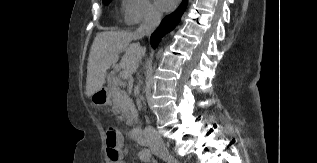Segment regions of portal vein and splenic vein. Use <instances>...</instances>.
<instances>
[{
	"instance_id": "18ae733b",
	"label": "portal vein and splenic vein",
	"mask_w": 317,
	"mask_h": 163,
	"mask_svg": "<svg viewBox=\"0 0 317 163\" xmlns=\"http://www.w3.org/2000/svg\"><path fill=\"white\" fill-rule=\"evenodd\" d=\"M120 78L116 77V78H112V84L116 85V84H120Z\"/></svg>"
}]
</instances>
